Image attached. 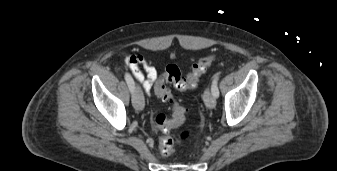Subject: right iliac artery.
<instances>
[{"label":"right iliac artery","instance_id":"1","mask_svg":"<svg viewBox=\"0 0 337 171\" xmlns=\"http://www.w3.org/2000/svg\"><path fill=\"white\" fill-rule=\"evenodd\" d=\"M125 80L128 84V87H129L130 91L133 93L134 92V80H133V78L131 77L130 74L126 73L125 74Z\"/></svg>","mask_w":337,"mask_h":171}]
</instances>
